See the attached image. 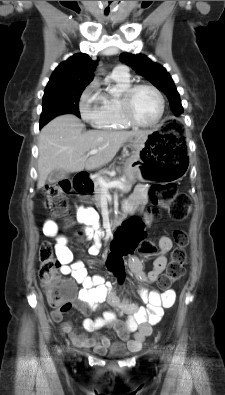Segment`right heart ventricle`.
<instances>
[{
  "mask_svg": "<svg viewBox=\"0 0 225 395\" xmlns=\"http://www.w3.org/2000/svg\"><path fill=\"white\" fill-rule=\"evenodd\" d=\"M108 80L113 84V92L99 93L100 115L96 127L103 130L127 129L130 125L123 119L120 108V95L131 85L129 77L110 74Z\"/></svg>",
  "mask_w": 225,
  "mask_h": 395,
  "instance_id": "1",
  "label": "right heart ventricle"
}]
</instances>
